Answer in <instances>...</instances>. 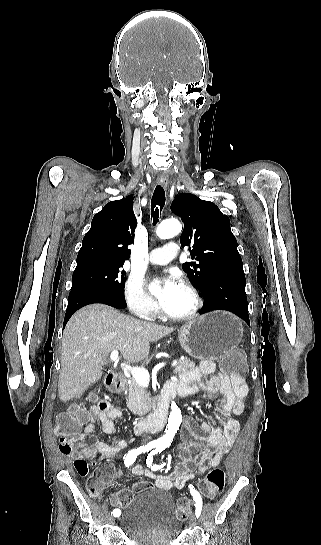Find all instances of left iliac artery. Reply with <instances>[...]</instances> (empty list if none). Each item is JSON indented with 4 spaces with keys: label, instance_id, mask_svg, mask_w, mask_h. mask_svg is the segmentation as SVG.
I'll list each match as a JSON object with an SVG mask.
<instances>
[{
    "label": "left iliac artery",
    "instance_id": "obj_1",
    "mask_svg": "<svg viewBox=\"0 0 321 545\" xmlns=\"http://www.w3.org/2000/svg\"><path fill=\"white\" fill-rule=\"evenodd\" d=\"M165 449L164 446H156V449L155 450H152L150 452V454H148V457H147V460H146V463H147V466L148 467H151L152 469L154 470H158L160 469L161 467H163V465H160V466H157L155 465V467L153 468L152 467V462H153V455H155L156 453H160L162 452L163 450ZM190 492L191 494L193 495L195 501H196V517H199L200 514H201V510H202V499H201V496L199 495V493H197V491H195L192 487H190Z\"/></svg>",
    "mask_w": 321,
    "mask_h": 545
}]
</instances>
